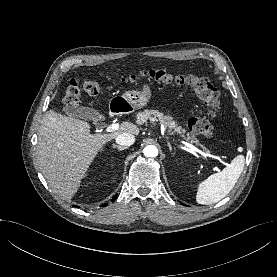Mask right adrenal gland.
I'll return each instance as SVG.
<instances>
[{"instance_id":"1","label":"right adrenal gland","mask_w":277,"mask_h":277,"mask_svg":"<svg viewBox=\"0 0 277 277\" xmlns=\"http://www.w3.org/2000/svg\"><path fill=\"white\" fill-rule=\"evenodd\" d=\"M113 148H117L118 151H121V150L126 149L127 147H123V146H120V145L113 144Z\"/></svg>"}]
</instances>
